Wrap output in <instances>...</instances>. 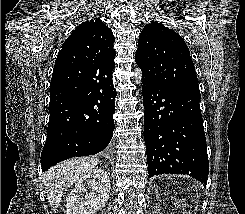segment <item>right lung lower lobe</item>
<instances>
[{
	"instance_id": "right-lung-lower-lobe-1",
	"label": "right lung lower lobe",
	"mask_w": 245,
	"mask_h": 214,
	"mask_svg": "<svg viewBox=\"0 0 245 214\" xmlns=\"http://www.w3.org/2000/svg\"><path fill=\"white\" fill-rule=\"evenodd\" d=\"M113 68L95 71L89 86L76 95L50 93L42 171L72 157L97 154L109 145L115 127Z\"/></svg>"
}]
</instances>
